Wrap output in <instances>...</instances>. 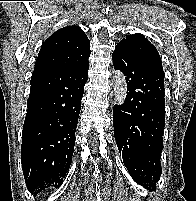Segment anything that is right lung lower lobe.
Here are the masks:
<instances>
[{
    "instance_id": "right-lung-lower-lobe-1",
    "label": "right lung lower lobe",
    "mask_w": 196,
    "mask_h": 201,
    "mask_svg": "<svg viewBox=\"0 0 196 201\" xmlns=\"http://www.w3.org/2000/svg\"><path fill=\"white\" fill-rule=\"evenodd\" d=\"M89 63L32 74L21 163L28 190L59 187L70 168Z\"/></svg>"
}]
</instances>
